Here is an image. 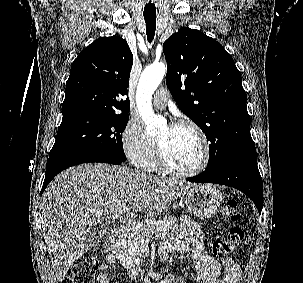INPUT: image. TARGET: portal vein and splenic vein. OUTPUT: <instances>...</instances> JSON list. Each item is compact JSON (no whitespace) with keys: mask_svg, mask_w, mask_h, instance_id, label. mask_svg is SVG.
<instances>
[{"mask_svg":"<svg viewBox=\"0 0 303 283\" xmlns=\"http://www.w3.org/2000/svg\"><path fill=\"white\" fill-rule=\"evenodd\" d=\"M113 220H115L116 218L115 217H112ZM120 222H122L123 224H126V225H129V224H132L130 221H123V220H120ZM157 225L158 224H163V222H158L156 223ZM152 233H154V231H151Z\"/></svg>","mask_w":303,"mask_h":283,"instance_id":"portal-vein-and-splenic-vein-1","label":"portal vein and splenic vein"}]
</instances>
